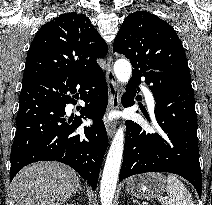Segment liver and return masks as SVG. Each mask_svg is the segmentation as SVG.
Returning a JSON list of instances; mask_svg holds the SVG:
<instances>
[{
    "label": "liver",
    "instance_id": "6515ba94",
    "mask_svg": "<svg viewBox=\"0 0 212 205\" xmlns=\"http://www.w3.org/2000/svg\"><path fill=\"white\" fill-rule=\"evenodd\" d=\"M75 170L58 162L24 167L12 182L15 205H61L77 187Z\"/></svg>",
    "mask_w": 212,
    "mask_h": 205
}]
</instances>
